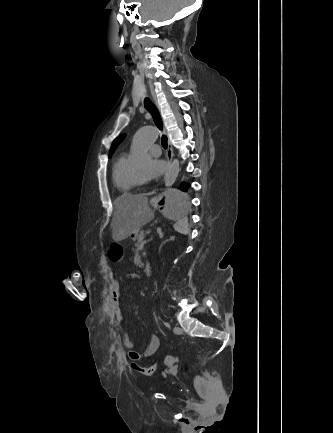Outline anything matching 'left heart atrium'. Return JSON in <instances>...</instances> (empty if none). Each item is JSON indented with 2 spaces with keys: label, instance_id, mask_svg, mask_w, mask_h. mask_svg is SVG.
<instances>
[{
  "label": "left heart atrium",
  "instance_id": "39dd6f15",
  "mask_svg": "<svg viewBox=\"0 0 333 433\" xmlns=\"http://www.w3.org/2000/svg\"><path fill=\"white\" fill-rule=\"evenodd\" d=\"M166 169L165 162L160 158H153L144 170V180H152L158 178Z\"/></svg>",
  "mask_w": 333,
  "mask_h": 433
}]
</instances>
